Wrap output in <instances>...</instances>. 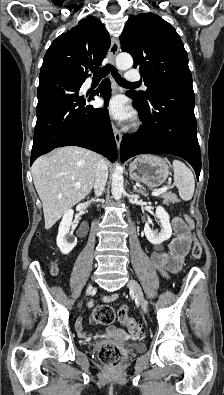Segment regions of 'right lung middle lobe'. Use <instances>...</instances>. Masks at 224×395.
Segmentation results:
<instances>
[{"mask_svg": "<svg viewBox=\"0 0 224 395\" xmlns=\"http://www.w3.org/2000/svg\"><path fill=\"white\" fill-rule=\"evenodd\" d=\"M57 71L60 72L61 74L65 75V76H67V77L73 79V80L76 81V82H81V81L83 80L82 78H78V77H75V76H71V75H69V74H67V73H65V72H63V71H59V70H57Z\"/></svg>", "mask_w": 224, "mask_h": 395, "instance_id": "1", "label": "right lung middle lobe"}]
</instances>
